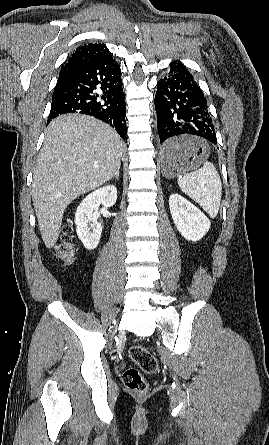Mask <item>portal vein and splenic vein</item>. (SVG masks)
Segmentation results:
<instances>
[{"instance_id": "portal-vein-and-splenic-vein-1", "label": "portal vein and splenic vein", "mask_w": 269, "mask_h": 445, "mask_svg": "<svg viewBox=\"0 0 269 445\" xmlns=\"http://www.w3.org/2000/svg\"><path fill=\"white\" fill-rule=\"evenodd\" d=\"M95 168H98V165H94Z\"/></svg>"}]
</instances>
